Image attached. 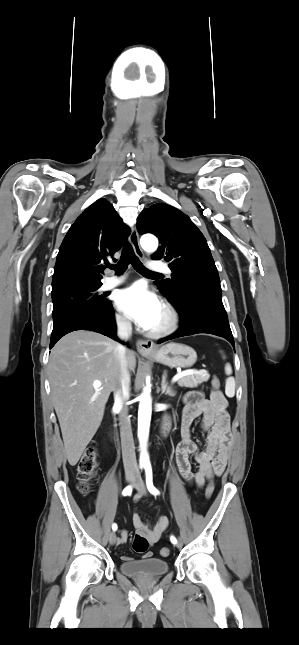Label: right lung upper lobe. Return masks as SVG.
<instances>
[{"label":"right lung upper lobe","instance_id":"1","mask_svg":"<svg viewBox=\"0 0 299 645\" xmlns=\"http://www.w3.org/2000/svg\"><path fill=\"white\" fill-rule=\"evenodd\" d=\"M130 232L106 199L90 205L70 227L60 246L52 292L75 284L102 285L103 264L121 248Z\"/></svg>","mask_w":299,"mask_h":645}]
</instances>
